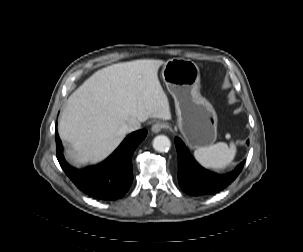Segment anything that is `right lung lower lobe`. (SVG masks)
<instances>
[{
  "label": "right lung lower lobe",
  "instance_id": "right-lung-lower-lobe-1",
  "mask_svg": "<svg viewBox=\"0 0 303 252\" xmlns=\"http://www.w3.org/2000/svg\"><path fill=\"white\" fill-rule=\"evenodd\" d=\"M146 135L145 129L131 133L107 160L80 171L64 160L56 129L57 159L67 176L84 193L96 199H118L126 194L132 184V154Z\"/></svg>",
  "mask_w": 303,
  "mask_h": 252
}]
</instances>
